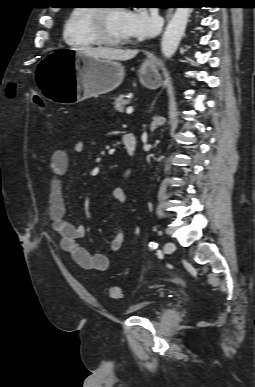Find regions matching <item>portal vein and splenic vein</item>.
I'll use <instances>...</instances> for the list:
<instances>
[{"mask_svg": "<svg viewBox=\"0 0 255 387\" xmlns=\"http://www.w3.org/2000/svg\"><path fill=\"white\" fill-rule=\"evenodd\" d=\"M133 111H134V109H133L132 106H129V107L126 109V113H127V114H131V113H133Z\"/></svg>", "mask_w": 255, "mask_h": 387, "instance_id": "obj_1", "label": "portal vein and splenic vein"}]
</instances>
